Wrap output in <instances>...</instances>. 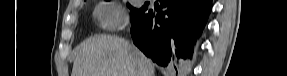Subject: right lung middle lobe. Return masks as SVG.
<instances>
[{
	"instance_id": "right-lung-middle-lobe-1",
	"label": "right lung middle lobe",
	"mask_w": 287,
	"mask_h": 76,
	"mask_svg": "<svg viewBox=\"0 0 287 76\" xmlns=\"http://www.w3.org/2000/svg\"><path fill=\"white\" fill-rule=\"evenodd\" d=\"M127 5L131 9L130 11L131 23H133L139 16L143 15L147 10L146 4L142 6L140 9L133 8L130 4Z\"/></svg>"
}]
</instances>
